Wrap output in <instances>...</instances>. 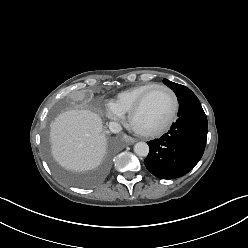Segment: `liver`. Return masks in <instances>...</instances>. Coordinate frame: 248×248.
Segmentation results:
<instances>
[{
	"label": "liver",
	"instance_id": "6515ba94",
	"mask_svg": "<svg viewBox=\"0 0 248 248\" xmlns=\"http://www.w3.org/2000/svg\"><path fill=\"white\" fill-rule=\"evenodd\" d=\"M50 141L54 159L75 172L97 168L107 149L102 120L89 110L60 114L51 125Z\"/></svg>",
	"mask_w": 248,
	"mask_h": 248
}]
</instances>
